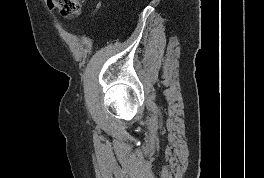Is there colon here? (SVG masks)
I'll use <instances>...</instances> for the list:
<instances>
[{
  "label": "colon",
  "instance_id": "1",
  "mask_svg": "<svg viewBox=\"0 0 264 178\" xmlns=\"http://www.w3.org/2000/svg\"><path fill=\"white\" fill-rule=\"evenodd\" d=\"M83 0H48L50 7L56 8L65 17H75L81 11Z\"/></svg>",
  "mask_w": 264,
  "mask_h": 178
}]
</instances>
